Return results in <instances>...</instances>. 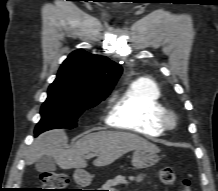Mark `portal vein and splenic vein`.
Here are the masks:
<instances>
[{
	"label": "portal vein and splenic vein",
	"instance_id": "obj_1",
	"mask_svg": "<svg viewBox=\"0 0 218 191\" xmlns=\"http://www.w3.org/2000/svg\"><path fill=\"white\" fill-rule=\"evenodd\" d=\"M96 154H89L87 157H93L95 156Z\"/></svg>",
	"mask_w": 218,
	"mask_h": 191
}]
</instances>
